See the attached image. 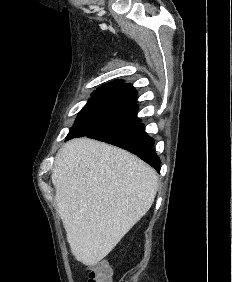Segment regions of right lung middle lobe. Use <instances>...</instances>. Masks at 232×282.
I'll return each mask as SVG.
<instances>
[{"label": "right lung middle lobe", "mask_w": 232, "mask_h": 282, "mask_svg": "<svg viewBox=\"0 0 232 282\" xmlns=\"http://www.w3.org/2000/svg\"><path fill=\"white\" fill-rule=\"evenodd\" d=\"M136 94L134 91L93 93L78 114L67 139L121 129L141 121L137 118Z\"/></svg>", "instance_id": "obj_1"}]
</instances>
